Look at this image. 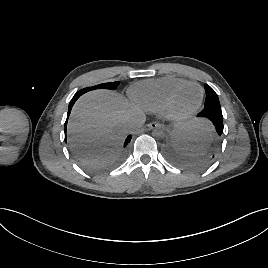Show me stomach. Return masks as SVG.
<instances>
[{
    "instance_id": "obj_1",
    "label": "stomach",
    "mask_w": 268,
    "mask_h": 268,
    "mask_svg": "<svg viewBox=\"0 0 268 268\" xmlns=\"http://www.w3.org/2000/svg\"><path fill=\"white\" fill-rule=\"evenodd\" d=\"M183 144L185 145V147H189L188 144H187V142H183Z\"/></svg>"
}]
</instances>
